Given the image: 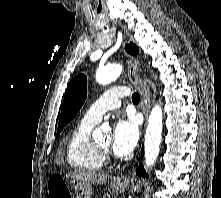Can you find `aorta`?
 Returning <instances> with one entry per match:
<instances>
[{
  "instance_id": "aorta-1",
  "label": "aorta",
  "mask_w": 221,
  "mask_h": 198,
  "mask_svg": "<svg viewBox=\"0 0 221 198\" xmlns=\"http://www.w3.org/2000/svg\"><path fill=\"white\" fill-rule=\"evenodd\" d=\"M121 72L122 66L119 64H113L98 69L95 78L99 84L106 85L115 81L120 76ZM162 124L163 111L160 103L153 107L148 118L144 143L146 168L151 167L158 157L162 135ZM93 134L94 136L101 135L102 129H96Z\"/></svg>"
}]
</instances>
